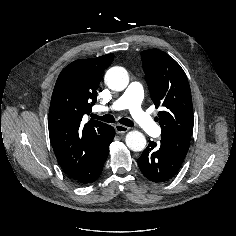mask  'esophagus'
I'll return each instance as SVG.
<instances>
[{"mask_svg":"<svg viewBox=\"0 0 236 236\" xmlns=\"http://www.w3.org/2000/svg\"><path fill=\"white\" fill-rule=\"evenodd\" d=\"M114 128L117 134H122L129 130L127 126L120 125V124L115 125Z\"/></svg>","mask_w":236,"mask_h":236,"instance_id":"esophagus-1","label":"esophagus"}]
</instances>
